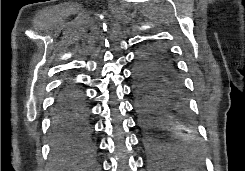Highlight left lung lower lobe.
Instances as JSON below:
<instances>
[{
    "label": "left lung lower lobe",
    "instance_id": "left-lung-lower-lobe-1",
    "mask_svg": "<svg viewBox=\"0 0 245 171\" xmlns=\"http://www.w3.org/2000/svg\"><path fill=\"white\" fill-rule=\"evenodd\" d=\"M152 61L130 62L134 68L143 138L150 167H183L188 154L169 147L168 141L154 132L155 128L169 129L173 134L185 132L190 124V111L184 80L167 48L157 43L151 52ZM168 156V157H162Z\"/></svg>",
    "mask_w": 245,
    "mask_h": 171
}]
</instances>
